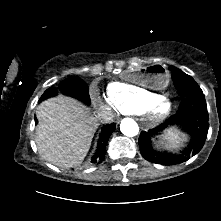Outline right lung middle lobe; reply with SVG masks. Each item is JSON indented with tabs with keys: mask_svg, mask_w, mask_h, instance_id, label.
Returning <instances> with one entry per match:
<instances>
[{
	"mask_svg": "<svg viewBox=\"0 0 221 221\" xmlns=\"http://www.w3.org/2000/svg\"><path fill=\"white\" fill-rule=\"evenodd\" d=\"M60 89L63 93L74 96L86 103L89 102V89L87 84L80 78L70 77L61 83ZM57 94L55 88L47 89L40 98V101Z\"/></svg>",
	"mask_w": 221,
	"mask_h": 221,
	"instance_id": "right-lung-middle-lobe-1",
	"label": "right lung middle lobe"
}]
</instances>
